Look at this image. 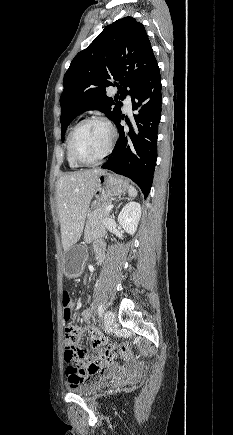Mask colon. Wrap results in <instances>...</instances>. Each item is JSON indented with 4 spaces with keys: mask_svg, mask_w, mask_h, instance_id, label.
I'll return each instance as SVG.
<instances>
[{
    "mask_svg": "<svg viewBox=\"0 0 233 435\" xmlns=\"http://www.w3.org/2000/svg\"><path fill=\"white\" fill-rule=\"evenodd\" d=\"M61 303L63 306V317L67 321L70 320L72 316V300L70 298L69 293L64 290L61 297ZM64 336L66 340V347H65V353H64V359L65 362L69 366L77 367L80 364L81 361V351L79 347L77 346V343L79 341L80 332L79 329L74 325H66L64 328ZM121 348H124L125 345H121ZM114 346L109 345L104 353H99L94 356V360L91 362L89 367L87 368L88 373H96L100 370V368L103 365L102 358L113 352Z\"/></svg>",
    "mask_w": 233,
    "mask_h": 435,
    "instance_id": "1",
    "label": "colon"
}]
</instances>
